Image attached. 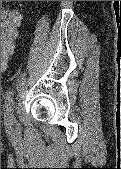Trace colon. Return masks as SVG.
I'll list each match as a JSON object with an SVG mask.
<instances>
[{
  "mask_svg": "<svg viewBox=\"0 0 121 169\" xmlns=\"http://www.w3.org/2000/svg\"><path fill=\"white\" fill-rule=\"evenodd\" d=\"M22 14L16 9H6L1 17V68H7L14 49ZM2 71V70H1Z\"/></svg>",
  "mask_w": 121,
  "mask_h": 169,
  "instance_id": "5ec220e1",
  "label": "colon"
}]
</instances>
